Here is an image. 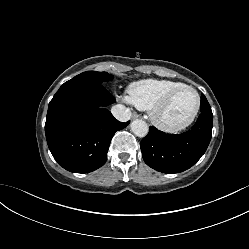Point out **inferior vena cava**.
<instances>
[{
  "label": "inferior vena cava",
  "instance_id": "obj_1",
  "mask_svg": "<svg viewBox=\"0 0 249 249\" xmlns=\"http://www.w3.org/2000/svg\"><path fill=\"white\" fill-rule=\"evenodd\" d=\"M111 112L113 116L121 122H126L131 117V111L121 104L114 105L111 108Z\"/></svg>",
  "mask_w": 249,
  "mask_h": 249
}]
</instances>
